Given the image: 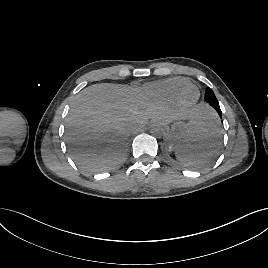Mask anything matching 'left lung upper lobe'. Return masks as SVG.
I'll return each instance as SVG.
<instances>
[{
  "label": "left lung upper lobe",
  "instance_id": "left-lung-upper-lobe-1",
  "mask_svg": "<svg viewBox=\"0 0 268 268\" xmlns=\"http://www.w3.org/2000/svg\"><path fill=\"white\" fill-rule=\"evenodd\" d=\"M205 101L209 103L210 105L219 104L214 92L210 88H207L205 92Z\"/></svg>",
  "mask_w": 268,
  "mask_h": 268
}]
</instances>
